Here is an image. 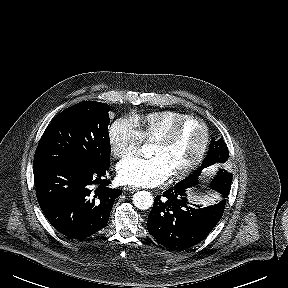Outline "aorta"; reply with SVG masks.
Listing matches in <instances>:
<instances>
[{"label":"aorta","instance_id":"obj_1","mask_svg":"<svg viewBox=\"0 0 288 288\" xmlns=\"http://www.w3.org/2000/svg\"><path fill=\"white\" fill-rule=\"evenodd\" d=\"M142 152L148 156L149 149L148 147H143ZM133 204L135 207H137L140 210H146L149 209L153 205V196L148 191H138L133 195L132 198Z\"/></svg>","mask_w":288,"mask_h":288}]
</instances>
